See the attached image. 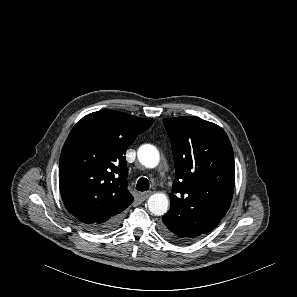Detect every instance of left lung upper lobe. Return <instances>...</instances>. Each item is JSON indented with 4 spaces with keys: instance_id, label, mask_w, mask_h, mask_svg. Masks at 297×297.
Masks as SVG:
<instances>
[{
    "instance_id": "left-lung-upper-lobe-1",
    "label": "left lung upper lobe",
    "mask_w": 297,
    "mask_h": 297,
    "mask_svg": "<svg viewBox=\"0 0 297 297\" xmlns=\"http://www.w3.org/2000/svg\"><path fill=\"white\" fill-rule=\"evenodd\" d=\"M163 123L176 169L167 213H172L182 237L193 241L214 229L230 207L235 183L233 149L221 127L201 118H165Z\"/></svg>"
}]
</instances>
